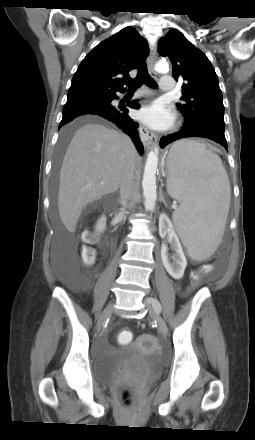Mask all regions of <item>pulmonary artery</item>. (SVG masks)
<instances>
[{"mask_svg":"<svg viewBox=\"0 0 255 440\" xmlns=\"http://www.w3.org/2000/svg\"><path fill=\"white\" fill-rule=\"evenodd\" d=\"M174 79L172 76L170 75H164L161 77L160 80V88L162 91L164 92H171L174 90Z\"/></svg>","mask_w":255,"mask_h":440,"instance_id":"1","label":"pulmonary artery"}]
</instances>
